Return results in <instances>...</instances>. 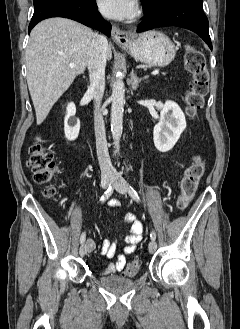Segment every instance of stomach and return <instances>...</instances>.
I'll return each mask as SVG.
<instances>
[{
    "mask_svg": "<svg viewBox=\"0 0 240 329\" xmlns=\"http://www.w3.org/2000/svg\"><path fill=\"white\" fill-rule=\"evenodd\" d=\"M123 48L137 61L159 67L168 65L176 55L173 42L154 30L140 34Z\"/></svg>",
    "mask_w": 240,
    "mask_h": 329,
    "instance_id": "obj_1",
    "label": "stomach"
}]
</instances>
